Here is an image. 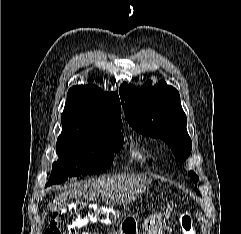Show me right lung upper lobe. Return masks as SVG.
<instances>
[{
  "mask_svg": "<svg viewBox=\"0 0 241 234\" xmlns=\"http://www.w3.org/2000/svg\"><path fill=\"white\" fill-rule=\"evenodd\" d=\"M84 128L120 129L121 105L116 92H104L95 85H79L69 89L61 115Z\"/></svg>",
  "mask_w": 241,
  "mask_h": 234,
  "instance_id": "1",
  "label": "right lung upper lobe"
}]
</instances>
